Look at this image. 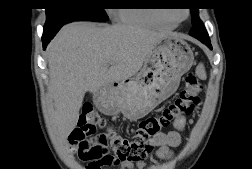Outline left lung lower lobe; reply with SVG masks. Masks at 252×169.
Returning <instances> with one entry per match:
<instances>
[{
    "mask_svg": "<svg viewBox=\"0 0 252 169\" xmlns=\"http://www.w3.org/2000/svg\"><path fill=\"white\" fill-rule=\"evenodd\" d=\"M191 36L197 38L202 43H204L206 46H208L210 49H212L209 36L206 32V30H198L197 32H190Z\"/></svg>",
    "mask_w": 252,
    "mask_h": 169,
    "instance_id": "left-lung-lower-lobe-1",
    "label": "left lung lower lobe"
}]
</instances>
